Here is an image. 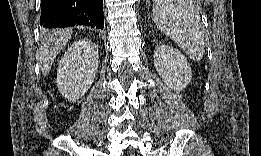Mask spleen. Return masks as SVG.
Segmentation results:
<instances>
[{"instance_id":"obj_1","label":"spleen","mask_w":261,"mask_h":156,"mask_svg":"<svg viewBox=\"0 0 261 156\" xmlns=\"http://www.w3.org/2000/svg\"><path fill=\"white\" fill-rule=\"evenodd\" d=\"M153 19L157 27L195 61L204 54V32L192 1L156 0Z\"/></svg>"}]
</instances>
